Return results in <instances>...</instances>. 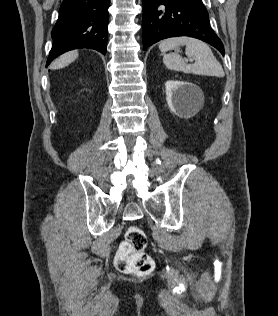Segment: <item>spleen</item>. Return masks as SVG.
Listing matches in <instances>:
<instances>
[{
  "label": "spleen",
  "mask_w": 278,
  "mask_h": 316,
  "mask_svg": "<svg viewBox=\"0 0 278 316\" xmlns=\"http://www.w3.org/2000/svg\"><path fill=\"white\" fill-rule=\"evenodd\" d=\"M177 45L186 46L185 53L188 57L195 60L194 64H185L178 53L165 54L166 51L175 48ZM159 49L164 53L163 62L170 70L198 75L224 76V70L210 47L198 39L191 37L168 38L160 43Z\"/></svg>",
  "instance_id": "spleen-1"
}]
</instances>
